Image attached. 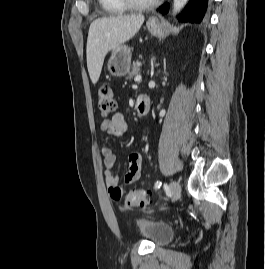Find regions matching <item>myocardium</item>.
I'll return each mask as SVG.
<instances>
[{
	"instance_id": "1",
	"label": "myocardium",
	"mask_w": 265,
	"mask_h": 269,
	"mask_svg": "<svg viewBox=\"0 0 265 269\" xmlns=\"http://www.w3.org/2000/svg\"><path fill=\"white\" fill-rule=\"evenodd\" d=\"M120 1L129 9L142 10L155 6L161 0H147V1L120 0Z\"/></svg>"
}]
</instances>
